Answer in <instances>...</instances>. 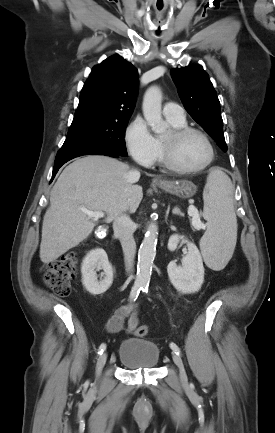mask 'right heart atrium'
<instances>
[{
	"mask_svg": "<svg viewBox=\"0 0 275 433\" xmlns=\"http://www.w3.org/2000/svg\"><path fill=\"white\" fill-rule=\"evenodd\" d=\"M125 143L131 157L142 166L149 167L158 158L160 150L158 140L141 116H137L127 126Z\"/></svg>",
	"mask_w": 275,
	"mask_h": 433,
	"instance_id": "obj_1",
	"label": "right heart atrium"
}]
</instances>
